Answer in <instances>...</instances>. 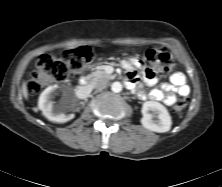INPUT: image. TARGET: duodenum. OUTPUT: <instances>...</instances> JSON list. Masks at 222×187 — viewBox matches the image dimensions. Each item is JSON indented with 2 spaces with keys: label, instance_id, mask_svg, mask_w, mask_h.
<instances>
[{
  "label": "duodenum",
  "instance_id": "duodenum-1",
  "mask_svg": "<svg viewBox=\"0 0 222 187\" xmlns=\"http://www.w3.org/2000/svg\"><path fill=\"white\" fill-rule=\"evenodd\" d=\"M127 81L130 83L128 79ZM89 93H90L89 80L87 78H83L80 82L79 94L85 96L88 95Z\"/></svg>",
  "mask_w": 222,
  "mask_h": 187
}]
</instances>
